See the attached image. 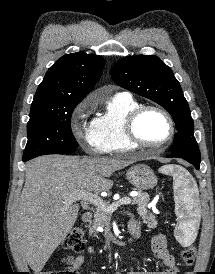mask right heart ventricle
<instances>
[{"label":"right heart ventricle","mask_w":215,"mask_h":274,"mask_svg":"<svg viewBox=\"0 0 215 274\" xmlns=\"http://www.w3.org/2000/svg\"><path fill=\"white\" fill-rule=\"evenodd\" d=\"M140 104L128 94H115L106 101L105 109L93 120L96 135L108 153H122L136 148L124 130L125 118Z\"/></svg>","instance_id":"e07e8e85"}]
</instances>
